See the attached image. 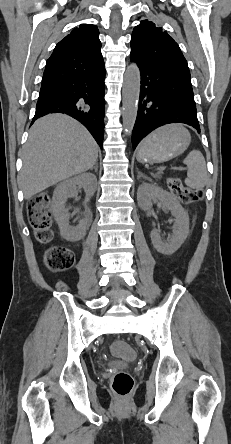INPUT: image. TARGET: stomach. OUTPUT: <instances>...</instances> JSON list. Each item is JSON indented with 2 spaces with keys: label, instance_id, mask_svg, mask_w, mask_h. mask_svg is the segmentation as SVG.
<instances>
[{
  "label": "stomach",
  "instance_id": "1",
  "mask_svg": "<svg viewBox=\"0 0 231 444\" xmlns=\"http://www.w3.org/2000/svg\"><path fill=\"white\" fill-rule=\"evenodd\" d=\"M190 142V133L182 125L161 127L140 143L137 160L148 163L168 161L183 153Z\"/></svg>",
  "mask_w": 231,
  "mask_h": 444
}]
</instances>
